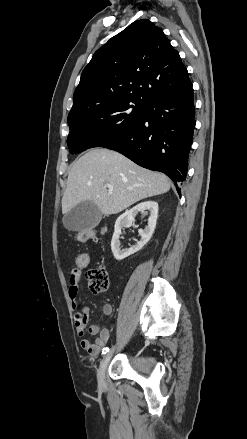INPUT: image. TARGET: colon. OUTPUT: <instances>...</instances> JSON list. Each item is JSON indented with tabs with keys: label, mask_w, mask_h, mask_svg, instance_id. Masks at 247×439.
Listing matches in <instances>:
<instances>
[{
	"label": "colon",
	"mask_w": 247,
	"mask_h": 439,
	"mask_svg": "<svg viewBox=\"0 0 247 439\" xmlns=\"http://www.w3.org/2000/svg\"><path fill=\"white\" fill-rule=\"evenodd\" d=\"M76 239L80 243L96 240V233L92 229L81 230L77 233ZM90 263V256L87 252L80 253L75 259L78 269H86ZM89 289L94 293L103 292L108 288L109 279L104 267L98 266L87 271Z\"/></svg>",
	"instance_id": "1"
}]
</instances>
